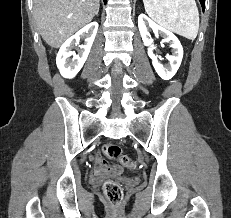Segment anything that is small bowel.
Returning a JSON list of instances; mask_svg holds the SVG:
<instances>
[{
  "mask_svg": "<svg viewBox=\"0 0 231 218\" xmlns=\"http://www.w3.org/2000/svg\"><path fill=\"white\" fill-rule=\"evenodd\" d=\"M95 172L97 175L117 176L122 173V168L119 165L109 164L100 154H96Z\"/></svg>",
  "mask_w": 231,
  "mask_h": 218,
  "instance_id": "c3829d8e",
  "label": "small bowel"
}]
</instances>
